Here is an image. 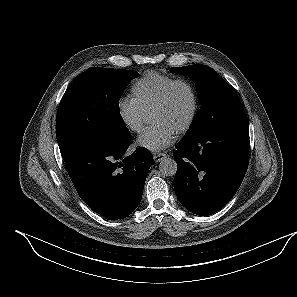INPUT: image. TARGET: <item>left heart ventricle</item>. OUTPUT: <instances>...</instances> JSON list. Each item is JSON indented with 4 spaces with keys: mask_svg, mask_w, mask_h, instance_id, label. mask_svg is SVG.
I'll return each instance as SVG.
<instances>
[{
    "mask_svg": "<svg viewBox=\"0 0 297 297\" xmlns=\"http://www.w3.org/2000/svg\"><path fill=\"white\" fill-rule=\"evenodd\" d=\"M191 111V97L183 85L174 88L167 105L150 114L151 123H163L175 133L185 123Z\"/></svg>",
    "mask_w": 297,
    "mask_h": 297,
    "instance_id": "1",
    "label": "left heart ventricle"
}]
</instances>
